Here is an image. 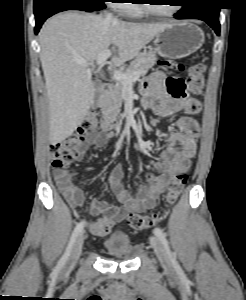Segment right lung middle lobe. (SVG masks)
I'll return each instance as SVG.
<instances>
[{
	"mask_svg": "<svg viewBox=\"0 0 246 300\" xmlns=\"http://www.w3.org/2000/svg\"><path fill=\"white\" fill-rule=\"evenodd\" d=\"M42 0H34V4H37L41 2ZM94 3H96L97 6L105 7L103 0H92Z\"/></svg>",
	"mask_w": 246,
	"mask_h": 300,
	"instance_id": "dd1d6c3e",
	"label": "right lung middle lobe"
}]
</instances>
